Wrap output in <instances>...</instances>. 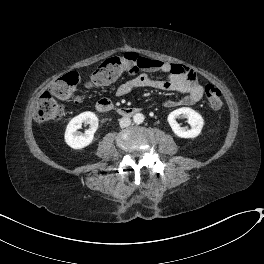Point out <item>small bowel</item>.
Listing matches in <instances>:
<instances>
[{
  "instance_id": "obj_1",
  "label": "small bowel",
  "mask_w": 264,
  "mask_h": 264,
  "mask_svg": "<svg viewBox=\"0 0 264 264\" xmlns=\"http://www.w3.org/2000/svg\"><path fill=\"white\" fill-rule=\"evenodd\" d=\"M140 63L142 70L150 73H164L166 80L155 79L146 74L138 75L121 84L116 91L118 95H127L140 88L183 94L184 97L181 99L163 100L164 106L172 108L194 105L203 97L204 88L198 83L194 72L189 67L148 58L141 59Z\"/></svg>"
}]
</instances>
